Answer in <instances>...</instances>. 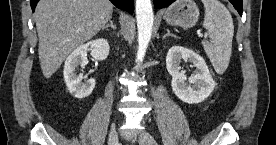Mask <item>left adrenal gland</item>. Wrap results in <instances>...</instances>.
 I'll return each mask as SVG.
<instances>
[{"label": "left adrenal gland", "mask_w": 276, "mask_h": 145, "mask_svg": "<svg viewBox=\"0 0 276 145\" xmlns=\"http://www.w3.org/2000/svg\"><path fill=\"white\" fill-rule=\"evenodd\" d=\"M166 31H167V33L163 36V39H165L166 37H169V36L179 38L176 35L172 34L169 29H167Z\"/></svg>", "instance_id": "a2214340"}]
</instances>
